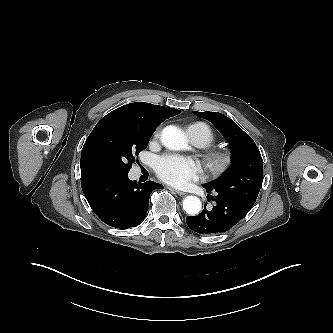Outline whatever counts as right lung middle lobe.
<instances>
[{
	"mask_svg": "<svg viewBox=\"0 0 333 333\" xmlns=\"http://www.w3.org/2000/svg\"><path fill=\"white\" fill-rule=\"evenodd\" d=\"M155 129H143L121 119H101L81 152V167L92 176L127 174Z\"/></svg>",
	"mask_w": 333,
	"mask_h": 333,
	"instance_id": "right-lung-middle-lobe-1",
	"label": "right lung middle lobe"
}]
</instances>
